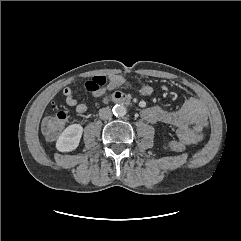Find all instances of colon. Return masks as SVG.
Here are the masks:
<instances>
[{
  "instance_id": "obj_1",
  "label": "colon",
  "mask_w": 241,
  "mask_h": 241,
  "mask_svg": "<svg viewBox=\"0 0 241 241\" xmlns=\"http://www.w3.org/2000/svg\"><path fill=\"white\" fill-rule=\"evenodd\" d=\"M143 85L144 83L141 81H130L125 78L118 81H109L107 84L105 77L94 76L84 84V89L94 94H101L105 89L114 90L117 88L132 86H138L141 88ZM52 111V115L45 120L43 125V130L49 138H55L60 133L68 116L66 111L60 110L56 106H52ZM195 130L200 131L201 127L196 126ZM169 146L173 151L178 153L185 151V145L180 141H171Z\"/></svg>"
}]
</instances>
